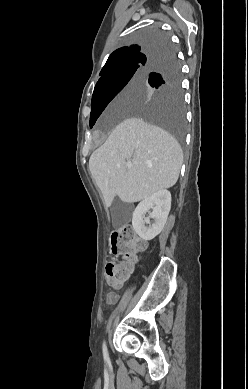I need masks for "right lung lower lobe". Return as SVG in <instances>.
Masks as SVG:
<instances>
[{"instance_id": "right-lung-lower-lobe-1", "label": "right lung lower lobe", "mask_w": 248, "mask_h": 389, "mask_svg": "<svg viewBox=\"0 0 248 389\" xmlns=\"http://www.w3.org/2000/svg\"><path fill=\"white\" fill-rule=\"evenodd\" d=\"M170 48H171V45H170V44H166L165 46H163V47L160 49V51H159V54L161 55L160 57H162L163 55H165V54L170 50ZM152 77L156 79V78L161 77V74H160V73H157V72H154V73L152 74Z\"/></svg>"}]
</instances>
